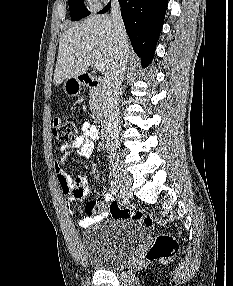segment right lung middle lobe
<instances>
[{"label":"right lung middle lobe","instance_id":"dd1d6c3e","mask_svg":"<svg viewBox=\"0 0 233 286\" xmlns=\"http://www.w3.org/2000/svg\"><path fill=\"white\" fill-rule=\"evenodd\" d=\"M71 20H80L90 14L83 0H68Z\"/></svg>","mask_w":233,"mask_h":286}]
</instances>
